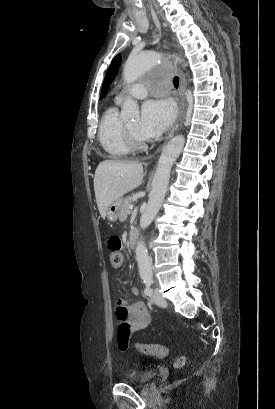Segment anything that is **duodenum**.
<instances>
[{"mask_svg":"<svg viewBox=\"0 0 275 409\" xmlns=\"http://www.w3.org/2000/svg\"><path fill=\"white\" fill-rule=\"evenodd\" d=\"M138 239V231L137 229H132L129 233L128 237V245L131 249H134Z\"/></svg>","mask_w":275,"mask_h":409,"instance_id":"duodenum-1","label":"duodenum"}]
</instances>
